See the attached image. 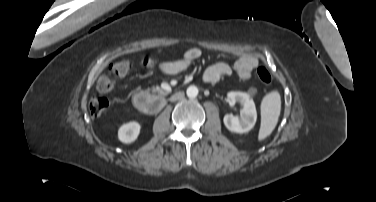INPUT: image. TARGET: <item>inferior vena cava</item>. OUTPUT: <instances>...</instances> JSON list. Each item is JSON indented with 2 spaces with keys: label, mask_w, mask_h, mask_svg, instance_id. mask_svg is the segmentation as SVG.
Segmentation results:
<instances>
[{
  "label": "inferior vena cava",
  "mask_w": 376,
  "mask_h": 202,
  "mask_svg": "<svg viewBox=\"0 0 376 202\" xmlns=\"http://www.w3.org/2000/svg\"><path fill=\"white\" fill-rule=\"evenodd\" d=\"M184 96L183 93H177L175 96L172 97V100L181 99Z\"/></svg>",
  "instance_id": "602c4592"
}]
</instances>
